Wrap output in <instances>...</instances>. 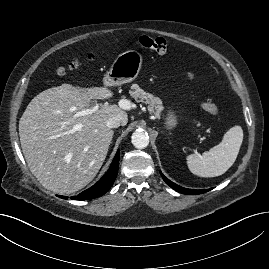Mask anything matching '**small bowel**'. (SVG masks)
<instances>
[{"label": "small bowel", "instance_id": "obj_1", "mask_svg": "<svg viewBox=\"0 0 269 269\" xmlns=\"http://www.w3.org/2000/svg\"><path fill=\"white\" fill-rule=\"evenodd\" d=\"M187 76H188V78L192 79V75L191 74H188Z\"/></svg>", "mask_w": 269, "mask_h": 269}]
</instances>
